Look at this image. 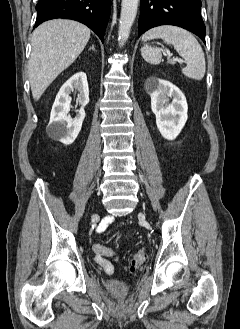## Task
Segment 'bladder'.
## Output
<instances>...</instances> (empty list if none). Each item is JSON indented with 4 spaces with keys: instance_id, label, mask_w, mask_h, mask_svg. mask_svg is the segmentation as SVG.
<instances>
[{
    "instance_id": "obj_1",
    "label": "bladder",
    "mask_w": 240,
    "mask_h": 329,
    "mask_svg": "<svg viewBox=\"0 0 240 329\" xmlns=\"http://www.w3.org/2000/svg\"><path fill=\"white\" fill-rule=\"evenodd\" d=\"M105 287L110 292H125L128 289L125 282L116 279L106 281Z\"/></svg>"
}]
</instances>
